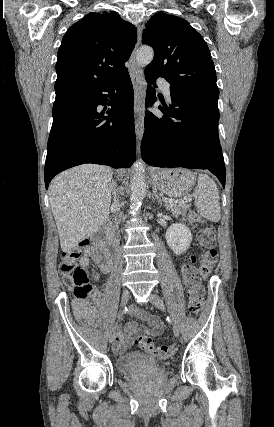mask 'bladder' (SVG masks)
<instances>
[{"label": "bladder", "mask_w": 274, "mask_h": 427, "mask_svg": "<svg viewBox=\"0 0 274 427\" xmlns=\"http://www.w3.org/2000/svg\"><path fill=\"white\" fill-rule=\"evenodd\" d=\"M116 364L119 372L128 373L133 369H157L165 366L164 363H158L149 359L144 352H128L116 357Z\"/></svg>", "instance_id": "obj_1"}]
</instances>
